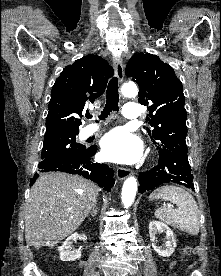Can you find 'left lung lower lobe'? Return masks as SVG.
I'll list each match as a JSON object with an SVG mask.
<instances>
[{
    "mask_svg": "<svg viewBox=\"0 0 221 276\" xmlns=\"http://www.w3.org/2000/svg\"><path fill=\"white\" fill-rule=\"evenodd\" d=\"M188 151L159 148V162L153 169L139 174L138 191L144 193L164 183H177L194 189Z\"/></svg>",
    "mask_w": 221,
    "mask_h": 276,
    "instance_id": "left-lung-lower-lobe-1",
    "label": "left lung lower lobe"
}]
</instances>
